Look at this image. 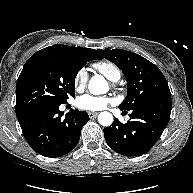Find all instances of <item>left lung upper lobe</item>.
I'll return each instance as SVG.
<instances>
[{
    "label": "left lung upper lobe",
    "instance_id": "left-lung-upper-lobe-1",
    "mask_svg": "<svg viewBox=\"0 0 193 193\" xmlns=\"http://www.w3.org/2000/svg\"><path fill=\"white\" fill-rule=\"evenodd\" d=\"M98 51L102 58L116 64L126 77L128 94L119 108L130 111L163 96L171 95L162 72L144 57L122 49Z\"/></svg>",
    "mask_w": 193,
    "mask_h": 193
}]
</instances>
